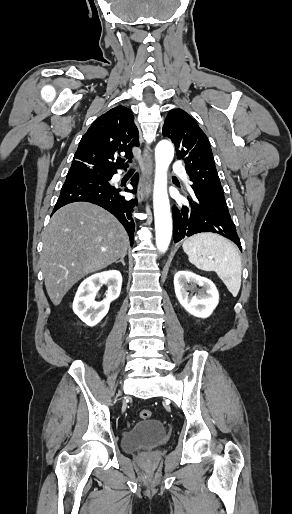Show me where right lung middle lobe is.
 I'll return each instance as SVG.
<instances>
[{"mask_svg":"<svg viewBox=\"0 0 292 514\" xmlns=\"http://www.w3.org/2000/svg\"><path fill=\"white\" fill-rule=\"evenodd\" d=\"M82 175L93 176V177H106V176H108V175L98 174V173H88V174H82ZM67 176H69V175H67Z\"/></svg>","mask_w":292,"mask_h":514,"instance_id":"obj_1","label":"right lung middle lobe"}]
</instances>
